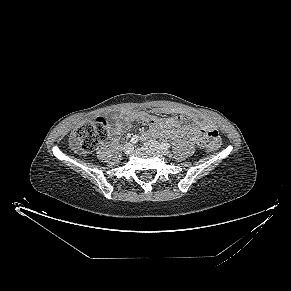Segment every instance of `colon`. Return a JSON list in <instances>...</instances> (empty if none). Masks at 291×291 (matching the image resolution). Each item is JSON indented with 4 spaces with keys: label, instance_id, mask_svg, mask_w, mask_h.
<instances>
[{
    "label": "colon",
    "instance_id": "1",
    "mask_svg": "<svg viewBox=\"0 0 291 291\" xmlns=\"http://www.w3.org/2000/svg\"><path fill=\"white\" fill-rule=\"evenodd\" d=\"M108 133L109 123L106 118L84 119L75 127L70 142L76 150L90 153L98 143L107 138ZM219 147L220 138L218 132L213 133L206 143V148L210 151H216Z\"/></svg>",
    "mask_w": 291,
    "mask_h": 291
}]
</instances>
